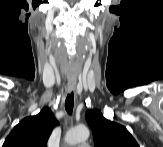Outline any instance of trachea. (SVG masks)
<instances>
[{"label":"trachea","mask_w":163,"mask_h":147,"mask_svg":"<svg viewBox=\"0 0 163 147\" xmlns=\"http://www.w3.org/2000/svg\"><path fill=\"white\" fill-rule=\"evenodd\" d=\"M73 106H74V95L73 92L67 95L65 100V109L68 112V114H72L73 112Z\"/></svg>","instance_id":"obj_1"}]
</instances>
